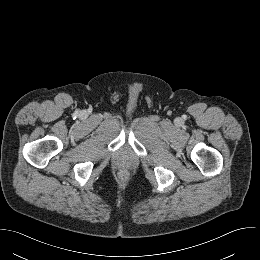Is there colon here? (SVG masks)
Instances as JSON below:
<instances>
[{"label":"colon","instance_id":"5ec220e1","mask_svg":"<svg viewBox=\"0 0 260 260\" xmlns=\"http://www.w3.org/2000/svg\"><path fill=\"white\" fill-rule=\"evenodd\" d=\"M121 178H125V173H121Z\"/></svg>","mask_w":260,"mask_h":260}]
</instances>
